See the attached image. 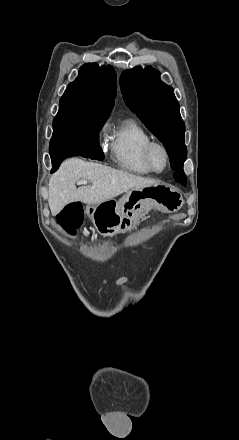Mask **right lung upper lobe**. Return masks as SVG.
I'll return each mask as SVG.
<instances>
[{
    "label": "right lung upper lobe",
    "instance_id": "1",
    "mask_svg": "<svg viewBox=\"0 0 239 440\" xmlns=\"http://www.w3.org/2000/svg\"><path fill=\"white\" fill-rule=\"evenodd\" d=\"M116 90V72L112 66L100 68L96 63L85 64L61 97L59 110L78 115L109 117Z\"/></svg>",
    "mask_w": 239,
    "mask_h": 440
}]
</instances>
